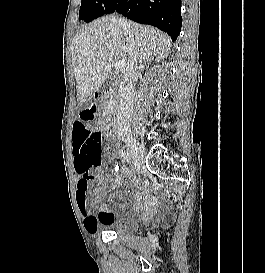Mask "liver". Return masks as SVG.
Here are the masks:
<instances>
[{
  "mask_svg": "<svg viewBox=\"0 0 265 273\" xmlns=\"http://www.w3.org/2000/svg\"><path fill=\"white\" fill-rule=\"evenodd\" d=\"M115 16H104L81 28L71 44L77 82V100L93 95L108 77L113 59L128 64V43ZM140 60L166 58L171 49L168 35L153 27L128 22ZM145 63V64H146Z\"/></svg>",
  "mask_w": 265,
  "mask_h": 273,
  "instance_id": "1",
  "label": "liver"
}]
</instances>
